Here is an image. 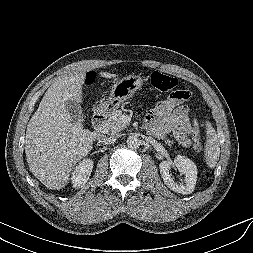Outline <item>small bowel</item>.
<instances>
[{"label":"small bowel","mask_w":253,"mask_h":253,"mask_svg":"<svg viewBox=\"0 0 253 253\" xmlns=\"http://www.w3.org/2000/svg\"><path fill=\"white\" fill-rule=\"evenodd\" d=\"M183 101L184 99H175L172 96L159 101L146 116L148 131L160 139L172 133L179 143L191 145L196 130L190 120L188 109L179 106Z\"/></svg>","instance_id":"small-bowel-1"}]
</instances>
